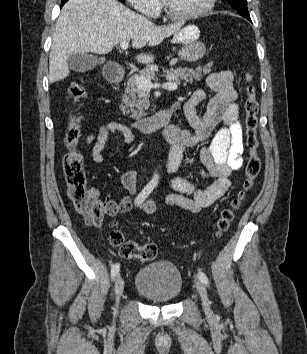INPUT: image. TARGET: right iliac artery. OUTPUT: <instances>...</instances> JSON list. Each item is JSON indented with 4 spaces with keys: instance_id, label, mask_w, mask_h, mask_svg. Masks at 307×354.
I'll list each match as a JSON object with an SVG mask.
<instances>
[{
    "instance_id": "right-iliac-artery-1",
    "label": "right iliac artery",
    "mask_w": 307,
    "mask_h": 354,
    "mask_svg": "<svg viewBox=\"0 0 307 354\" xmlns=\"http://www.w3.org/2000/svg\"><path fill=\"white\" fill-rule=\"evenodd\" d=\"M154 184H147L144 189L138 194V196L135 199V205H139L141 204L148 196L149 194L153 191L154 189ZM120 270V264L119 263H115L112 268H111V278L114 280L119 273Z\"/></svg>"
}]
</instances>
